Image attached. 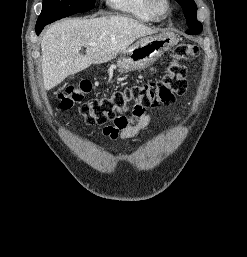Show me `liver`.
<instances>
[{"label": "liver", "mask_w": 247, "mask_h": 257, "mask_svg": "<svg viewBox=\"0 0 247 257\" xmlns=\"http://www.w3.org/2000/svg\"><path fill=\"white\" fill-rule=\"evenodd\" d=\"M155 30L124 16L64 19L51 25L41 41L44 87L50 90L69 75L102 64ZM96 43V46H90ZM86 47V54H80Z\"/></svg>", "instance_id": "obj_1"}]
</instances>
